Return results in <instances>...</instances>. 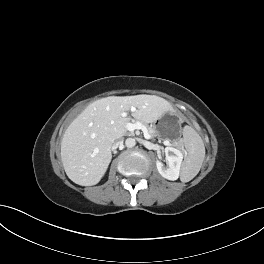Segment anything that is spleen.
I'll return each instance as SVG.
<instances>
[{
    "instance_id": "3e777b00",
    "label": "spleen",
    "mask_w": 264,
    "mask_h": 264,
    "mask_svg": "<svg viewBox=\"0 0 264 264\" xmlns=\"http://www.w3.org/2000/svg\"><path fill=\"white\" fill-rule=\"evenodd\" d=\"M182 133L184 146L188 154L181 167V181L189 182L199 173L202 167L205 158V147L202 138L192 127L184 126Z\"/></svg>"
}]
</instances>
